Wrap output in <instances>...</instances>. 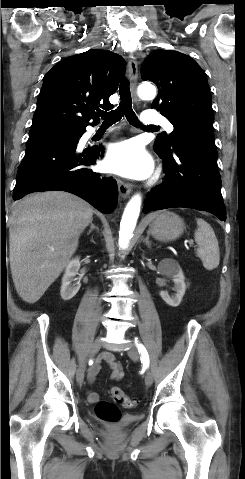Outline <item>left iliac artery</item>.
I'll return each instance as SVG.
<instances>
[{
    "mask_svg": "<svg viewBox=\"0 0 245 479\" xmlns=\"http://www.w3.org/2000/svg\"><path fill=\"white\" fill-rule=\"evenodd\" d=\"M135 343H136V346L138 348L139 354H141V360L143 361V364L145 366H149V355H148V352H147L146 348L144 347L143 344H141L137 340V338L135 339Z\"/></svg>",
    "mask_w": 245,
    "mask_h": 479,
    "instance_id": "obj_1",
    "label": "left iliac artery"
}]
</instances>
